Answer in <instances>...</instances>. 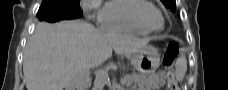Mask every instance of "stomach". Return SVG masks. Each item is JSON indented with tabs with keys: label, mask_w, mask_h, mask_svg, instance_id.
I'll use <instances>...</instances> for the list:
<instances>
[{
	"label": "stomach",
	"mask_w": 228,
	"mask_h": 90,
	"mask_svg": "<svg viewBox=\"0 0 228 90\" xmlns=\"http://www.w3.org/2000/svg\"><path fill=\"white\" fill-rule=\"evenodd\" d=\"M131 63L141 74H151L160 65V55L153 46H146L133 56Z\"/></svg>",
	"instance_id": "1"
}]
</instances>
